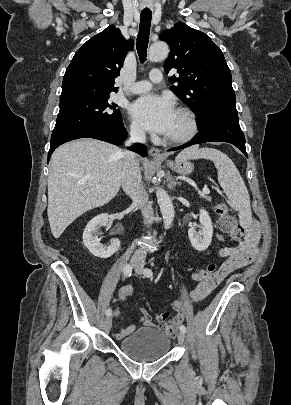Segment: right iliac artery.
<instances>
[{
    "label": "right iliac artery",
    "mask_w": 291,
    "mask_h": 405,
    "mask_svg": "<svg viewBox=\"0 0 291 405\" xmlns=\"http://www.w3.org/2000/svg\"><path fill=\"white\" fill-rule=\"evenodd\" d=\"M123 273H124V276H125V277H130V276H131V273H132V267H131L129 264L125 265V266H124V269H123ZM111 314H112V310H111V309H107V310H106V315H107V316H110Z\"/></svg>",
    "instance_id": "82829eb1"
}]
</instances>
